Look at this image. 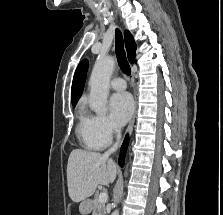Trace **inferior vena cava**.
<instances>
[{
	"instance_id": "inferior-vena-cava-1",
	"label": "inferior vena cava",
	"mask_w": 223,
	"mask_h": 215,
	"mask_svg": "<svg viewBox=\"0 0 223 215\" xmlns=\"http://www.w3.org/2000/svg\"><path fill=\"white\" fill-rule=\"evenodd\" d=\"M116 137H117L116 143H114V145H112V147H110L108 151H105L104 157H109L110 153H113V151H116L121 139V129H116Z\"/></svg>"
}]
</instances>
